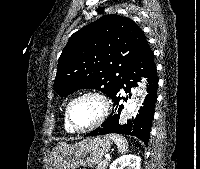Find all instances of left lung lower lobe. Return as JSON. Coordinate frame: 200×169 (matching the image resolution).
Returning <instances> with one entry per match:
<instances>
[{
    "label": "left lung lower lobe",
    "mask_w": 200,
    "mask_h": 169,
    "mask_svg": "<svg viewBox=\"0 0 200 169\" xmlns=\"http://www.w3.org/2000/svg\"><path fill=\"white\" fill-rule=\"evenodd\" d=\"M141 77H146L148 82V95L145 98L143 107L140 108L139 114L135 119H132V121L129 120L127 124L120 125L118 119L123 106L119 105V101L124 98L120 97L119 92L122 88L126 93L130 92V89L136 87L137 82H140ZM124 84L126 85L125 87ZM157 85L158 78L156 74V65L154 63V54L153 51L149 49L140 60L127 71L125 78L111 95L112 100H114L115 109L110 116L99 128L86 134V136L104 135L108 133L126 134L136 136L147 145L155 110Z\"/></svg>",
    "instance_id": "obj_1"
}]
</instances>
